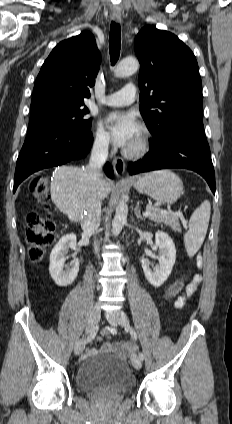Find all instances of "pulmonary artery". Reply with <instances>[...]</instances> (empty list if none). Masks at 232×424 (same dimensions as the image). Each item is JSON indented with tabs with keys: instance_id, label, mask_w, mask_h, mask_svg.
Wrapping results in <instances>:
<instances>
[{
	"instance_id": "pulmonary-artery-1",
	"label": "pulmonary artery",
	"mask_w": 232,
	"mask_h": 424,
	"mask_svg": "<svg viewBox=\"0 0 232 424\" xmlns=\"http://www.w3.org/2000/svg\"><path fill=\"white\" fill-rule=\"evenodd\" d=\"M137 96V90L134 84H128L120 91L102 98L101 102L108 106L122 107L133 103Z\"/></svg>"
}]
</instances>
